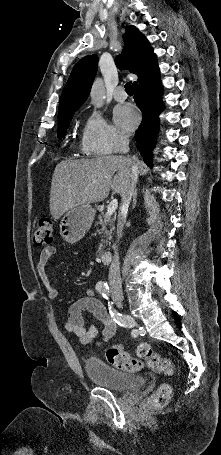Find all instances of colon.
Wrapping results in <instances>:
<instances>
[{
  "label": "colon",
  "mask_w": 221,
  "mask_h": 455,
  "mask_svg": "<svg viewBox=\"0 0 221 455\" xmlns=\"http://www.w3.org/2000/svg\"><path fill=\"white\" fill-rule=\"evenodd\" d=\"M54 240V229L51 219L40 220L34 230V242L37 246H49ZM138 358L132 357L121 345H114L108 348L106 358L113 366L126 370L138 371L144 366L155 372L171 375L173 365L168 358L162 357L154 352L148 343H140L136 347ZM171 387L162 384L150 399V405L155 408L164 407L171 397Z\"/></svg>",
  "instance_id": "1"
}]
</instances>
